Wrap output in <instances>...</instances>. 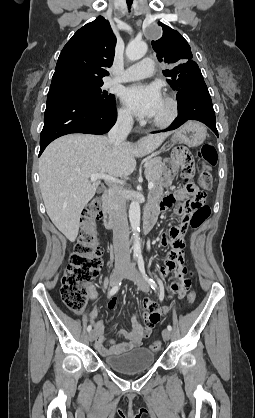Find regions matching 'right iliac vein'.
Here are the masks:
<instances>
[{"instance_id": "1", "label": "right iliac vein", "mask_w": 255, "mask_h": 418, "mask_svg": "<svg viewBox=\"0 0 255 418\" xmlns=\"http://www.w3.org/2000/svg\"><path fill=\"white\" fill-rule=\"evenodd\" d=\"M125 275V268L123 267H117L113 274L110 277V285L111 286H116L124 277ZM88 338L89 340L92 342L95 339V333L94 331H90L88 334Z\"/></svg>"}]
</instances>
